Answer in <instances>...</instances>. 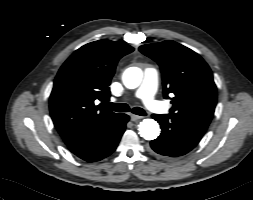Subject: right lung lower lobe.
Returning a JSON list of instances; mask_svg holds the SVG:
<instances>
[{
  "label": "right lung lower lobe",
  "instance_id": "98d812e1",
  "mask_svg": "<svg viewBox=\"0 0 253 200\" xmlns=\"http://www.w3.org/2000/svg\"><path fill=\"white\" fill-rule=\"evenodd\" d=\"M129 116L120 114L101 131L68 144L69 150L87 162H96L115 151L125 131Z\"/></svg>",
  "mask_w": 253,
  "mask_h": 200
}]
</instances>
